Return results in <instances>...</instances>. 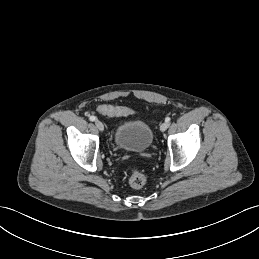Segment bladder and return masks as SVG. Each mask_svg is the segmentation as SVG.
Returning a JSON list of instances; mask_svg holds the SVG:
<instances>
[{
    "label": "bladder",
    "mask_w": 259,
    "mask_h": 259,
    "mask_svg": "<svg viewBox=\"0 0 259 259\" xmlns=\"http://www.w3.org/2000/svg\"><path fill=\"white\" fill-rule=\"evenodd\" d=\"M153 133L148 124L139 120L125 121L114 132L115 145L123 150L142 153L152 144Z\"/></svg>",
    "instance_id": "1"
}]
</instances>
